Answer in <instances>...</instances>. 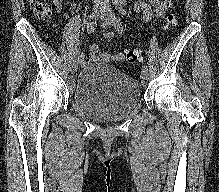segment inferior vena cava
I'll use <instances>...</instances> for the list:
<instances>
[{"mask_svg": "<svg viewBox=\"0 0 219 192\" xmlns=\"http://www.w3.org/2000/svg\"><path fill=\"white\" fill-rule=\"evenodd\" d=\"M97 5H101L104 9H108L109 0H94Z\"/></svg>", "mask_w": 219, "mask_h": 192, "instance_id": "obj_1", "label": "inferior vena cava"}]
</instances>
